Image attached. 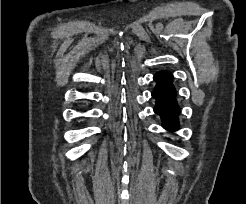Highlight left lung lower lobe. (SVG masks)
I'll return each instance as SVG.
<instances>
[{
	"instance_id": "1",
	"label": "left lung lower lobe",
	"mask_w": 246,
	"mask_h": 204,
	"mask_svg": "<svg viewBox=\"0 0 246 204\" xmlns=\"http://www.w3.org/2000/svg\"><path fill=\"white\" fill-rule=\"evenodd\" d=\"M173 76L167 71H160L154 76L157 85L152 92L156 99L154 112L161 116L165 129L173 131L178 128L179 108L175 100L176 91L172 85Z\"/></svg>"
}]
</instances>
